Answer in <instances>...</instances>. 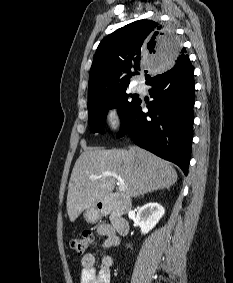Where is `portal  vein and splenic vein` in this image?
Returning a JSON list of instances; mask_svg holds the SVG:
<instances>
[{
    "label": "portal vein and splenic vein",
    "mask_w": 233,
    "mask_h": 283,
    "mask_svg": "<svg viewBox=\"0 0 233 283\" xmlns=\"http://www.w3.org/2000/svg\"><path fill=\"white\" fill-rule=\"evenodd\" d=\"M107 176H113L118 181L119 190L125 191V189H126L125 183L123 182L121 177L115 172L106 171V172H103L102 174H100L99 176H97V175L91 176V179H98V178L107 177Z\"/></svg>",
    "instance_id": "portal-vein-and-splenic-vein-1"
}]
</instances>
